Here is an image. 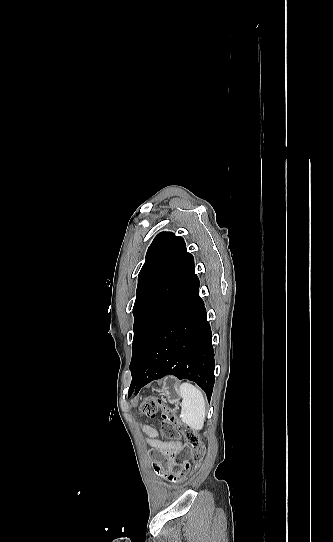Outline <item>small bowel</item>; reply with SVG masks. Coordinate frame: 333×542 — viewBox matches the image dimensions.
Masks as SVG:
<instances>
[{
    "instance_id": "c3829d8e",
    "label": "small bowel",
    "mask_w": 333,
    "mask_h": 542,
    "mask_svg": "<svg viewBox=\"0 0 333 542\" xmlns=\"http://www.w3.org/2000/svg\"><path fill=\"white\" fill-rule=\"evenodd\" d=\"M140 425L147 437L148 445L156 452L152 456L154 462L159 463L163 458L172 459L185 450V446L181 441L164 440L154 427L144 423Z\"/></svg>"
}]
</instances>
